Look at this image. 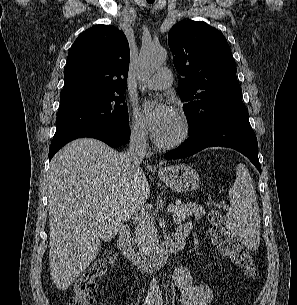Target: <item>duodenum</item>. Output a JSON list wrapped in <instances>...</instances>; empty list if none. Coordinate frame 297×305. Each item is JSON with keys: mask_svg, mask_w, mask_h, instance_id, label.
<instances>
[{"mask_svg": "<svg viewBox=\"0 0 297 305\" xmlns=\"http://www.w3.org/2000/svg\"><path fill=\"white\" fill-rule=\"evenodd\" d=\"M189 232L190 229L188 228L178 230L174 237L164 240L150 257L145 258L136 252L129 228L123 226L117 238V246L122 255L138 269L145 273H154L163 267L170 253L179 250L183 246Z\"/></svg>", "mask_w": 297, "mask_h": 305, "instance_id": "410a0bca", "label": "duodenum"}]
</instances>
